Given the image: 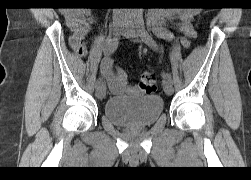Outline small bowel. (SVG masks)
Masks as SVG:
<instances>
[{
  "label": "small bowel",
  "instance_id": "1",
  "mask_svg": "<svg viewBox=\"0 0 251 180\" xmlns=\"http://www.w3.org/2000/svg\"><path fill=\"white\" fill-rule=\"evenodd\" d=\"M197 13V9L156 11L152 14L154 32L164 40H173V34L163 26L165 17H173L177 21L178 29L183 34L181 43L184 47H188L191 40L196 37L192 19ZM66 24L70 31L69 42L72 49L78 55L85 56L87 54L86 39L93 29L95 17L88 9L73 10L66 14ZM101 72L113 93H141L138 87L129 85L127 74L123 69L112 67L111 59L105 58L102 61Z\"/></svg>",
  "mask_w": 251,
  "mask_h": 180
}]
</instances>
